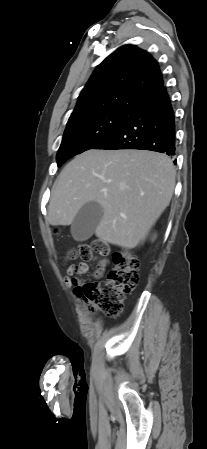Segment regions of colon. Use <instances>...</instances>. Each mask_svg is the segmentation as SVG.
I'll return each instance as SVG.
<instances>
[{
  "instance_id": "5ec220e1",
  "label": "colon",
  "mask_w": 207,
  "mask_h": 449,
  "mask_svg": "<svg viewBox=\"0 0 207 449\" xmlns=\"http://www.w3.org/2000/svg\"><path fill=\"white\" fill-rule=\"evenodd\" d=\"M109 248L100 240L91 243H80L70 250L67 258H80L83 262H90L95 255L100 257L97 263L95 277H102L108 265ZM113 267L104 281H89L78 285L75 293L89 302L93 308L104 312L109 317H116L123 307L125 294L132 292L139 281V261L131 252L124 250L112 256Z\"/></svg>"
}]
</instances>
